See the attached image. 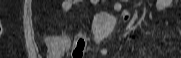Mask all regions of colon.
<instances>
[{
    "instance_id": "obj_1",
    "label": "colon",
    "mask_w": 181,
    "mask_h": 58,
    "mask_svg": "<svg viewBox=\"0 0 181 58\" xmlns=\"http://www.w3.org/2000/svg\"><path fill=\"white\" fill-rule=\"evenodd\" d=\"M46 42L50 48L57 49V47L59 46L58 38L56 37L47 38ZM69 47H70V42H69ZM72 47H73V58H82L85 47V39L76 38L73 41Z\"/></svg>"
}]
</instances>
